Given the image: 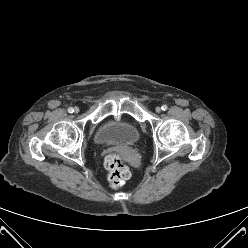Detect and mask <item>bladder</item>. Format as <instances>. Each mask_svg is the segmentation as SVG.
Masks as SVG:
<instances>
[{
    "label": "bladder",
    "instance_id": "1",
    "mask_svg": "<svg viewBox=\"0 0 248 248\" xmlns=\"http://www.w3.org/2000/svg\"><path fill=\"white\" fill-rule=\"evenodd\" d=\"M138 128L125 120H110L104 123L95 133L98 144L118 143L130 145L138 141Z\"/></svg>",
    "mask_w": 248,
    "mask_h": 248
}]
</instances>
